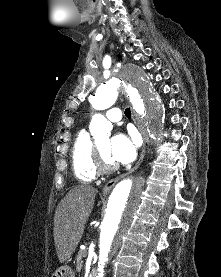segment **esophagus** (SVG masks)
Segmentation results:
<instances>
[{
	"label": "esophagus",
	"mask_w": 221,
	"mask_h": 277,
	"mask_svg": "<svg viewBox=\"0 0 221 277\" xmlns=\"http://www.w3.org/2000/svg\"><path fill=\"white\" fill-rule=\"evenodd\" d=\"M133 116H134V121H135V123H136V125H137V127H138V129H139V131H140V133H141V135H142V137H143V141H144L143 147H142V150H141L140 157H139V159H138L136 165H135L132 169H130L128 172H126V173H124V174H121V175L117 176V177L114 178V179L109 180V181L106 183V185L104 186L103 191H102V193H103L104 196H105V195H108V194L110 193V191L112 190V188L116 185V183H117L118 181H120L122 178L126 177V176L129 175L130 173L134 172V171L139 167V165L142 163V161H143V159H144L145 152H146L147 137H146L145 132H144V130H143L142 124H141L140 121L135 117V115H133Z\"/></svg>",
	"instance_id": "34e87169"
}]
</instances>
